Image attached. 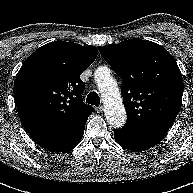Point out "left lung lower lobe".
Wrapping results in <instances>:
<instances>
[{
    "instance_id": "0a47b994",
    "label": "left lung lower lobe",
    "mask_w": 193,
    "mask_h": 193,
    "mask_svg": "<svg viewBox=\"0 0 193 193\" xmlns=\"http://www.w3.org/2000/svg\"><path fill=\"white\" fill-rule=\"evenodd\" d=\"M169 128L140 127L114 130L116 142L131 151L141 152L158 144L166 135Z\"/></svg>"
}]
</instances>
